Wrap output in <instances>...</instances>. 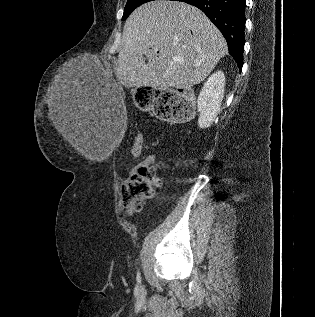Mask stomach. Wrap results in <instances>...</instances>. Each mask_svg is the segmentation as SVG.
Returning <instances> with one entry per match:
<instances>
[{
  "label": "stomach",
  "instance_id": "1",
  "mask_svg": "<svg viewBox=\"0 0 315 317\" xmlns=\"http://www.w3.org/2000/svg\"><path fill=\"white\" fill-rule=\"evenodd\" d=\"M135 95H158L159 89L158 88H150L149 84H141L140 88L134 89ZM136 103L141 104V108L144 111H149L152 108V104L155 103L154 97H137Z\"/></svg>",
  "mask_w": 315,
  "mask_h": 317
}]
</instances>
